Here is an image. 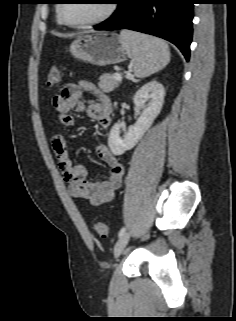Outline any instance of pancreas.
<instances>
[{
  "mask_svg": "<svg viewBox=\"0 0 236 321\" xmlns=\"http://www.w3.org/2000/svg\"><path fill=\"white\" fill-rule=\"evenodd\" d=\"M120 81L114 78V75L103 74L99 78L98 86L104 92L109 93L119 86Z\"/></svg>",
  "mask_w": 236,
  "mask_h": 321,
  "instance_id": "obj_1",
  "label": "pancreas"
}]
</instances>
